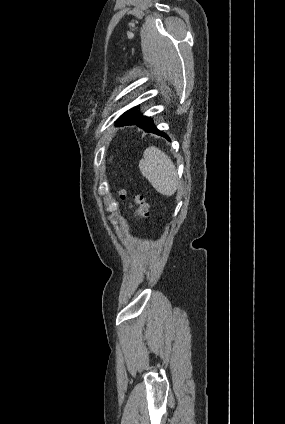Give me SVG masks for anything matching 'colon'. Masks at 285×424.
I'll return each instance as SVG.
<instances>
[{"instance_id": "obj_1", "label": "colon", "mask_w": 285, "mask_h": 424, "mask_svg": "<svg viewBox=\"0 0 285 424\" xmlns=\"http://www.w3.org/2000/svg\"><path fill=\"white\" fill-rule=\"evenodd\" d=\"M121 196L125 199V192H121ZM133 209V214L138 217H146L149 215V205L143 195H136L129 205Z\"/></svg>"}]
</instances>
